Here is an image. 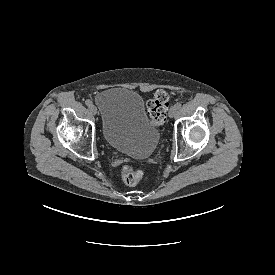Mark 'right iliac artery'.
<instances>
[{"instance_id": "obj_1", "label": "right iliac artery", "mask_w": 275, "mask_h": 275, "mask_svg": "<svg viewBox=\"0 0 275 275\" xmlns=\"http://www.w3.org/2000/svg\"><path fill=\"white\" fill-rule=\"evenodd\" d=\"M85 104L90 107V106H92L93 102L91 100L87 99L85 101Z\"/></svg>"}]
</instances>
